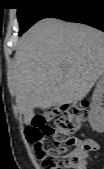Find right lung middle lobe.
Segmentation results:
<instances>
[{"instance_id":"right-lung-middle-lobe-1","label":"right lung middle lobe","mask_w":104,"mask_h":169,"mask_svg":"<svg viewBox=\"0 0 104 169\" xmlns=\"http://www.w3.org/2000/svg\"><path fill=\"white\" fill-rule=\"evenodd\" d=\"M66 0H17V16L20 26L19 35L28 30L37 21L46 18L54 9Z\"/></svg>"}]
</instances>
